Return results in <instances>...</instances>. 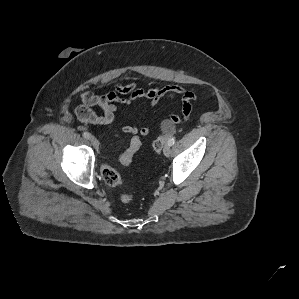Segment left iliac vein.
Listing matches in <instances>:
<instances>
[{"label":"left iliac vein","mask_w":299,"mask_h":299,"mask_svg":"<svg viewBox=\"0 0 299 299\" xmlns=\"http://www.w3.org/2000/svg\"><path fill=\"white\" fill-rule=\"evenodd\" d=\"M163 153L166 157H168L171 153V148L169 144H166L163 149Z\"/></svg>","instance_id":"1"}]
</instances>
